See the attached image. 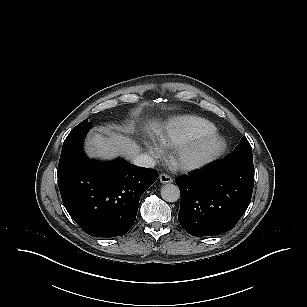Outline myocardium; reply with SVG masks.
Returning a JSON list of instances; mask_svg holds the SVG:
<instances>
[{
	"label": "myocardium",
	"instance_id": "f54148a6",
	"mask_svg": "<svg viewBox=\"0 0 307 307\" xmlns=\"http://www.w3.org/2000/svg\"><path fill=\"white\" fill-rule=\"evenodd\" d=\"M227 141L218 132L202 135L178 147L172 153L173 165L191 172L214 163L226 150Z\"/></svg>",
	"mask_w": 307,
	"mask_h": 307
}]
</instances>
